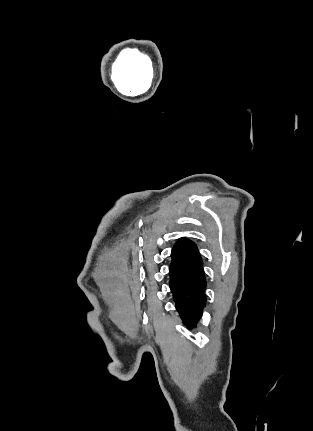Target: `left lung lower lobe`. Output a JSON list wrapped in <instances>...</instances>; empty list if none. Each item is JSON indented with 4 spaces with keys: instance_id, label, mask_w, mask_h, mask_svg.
<instances>
[{
    "instance_id": "obj_1",
    "label": "left lung lower lobe",
    "mask_w": 313,
    "mask_h": 431,
    "mask_svg": "<svg viewBox=\"0 0 313 431\" xmlns=\"http://www.w3.org/2000/svg\"><path fill=\"white\" fill-rule=\"evenodd\" d=\"M169 268L170 289L175 307L189 329L197 326L206 306V279L197 246L180 238L174 245Z\"/></svg>"
}]
</instances>
